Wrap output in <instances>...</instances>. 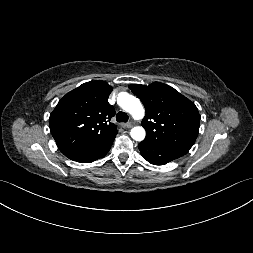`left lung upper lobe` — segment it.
<instances>
[{
    "mask_svg": "<svg viewBox=\"0 0 253 253\" xmlns=\"http://www.w3.org/2000/svg\"><path fill=\"white\" fill-rule=\"evenodd\" d=\"M129 88L140 98L146 110L142 121L146 130L143 141L187 153L199 131L200 115L195 104L160 82L148 86L131 84Z\"/></svg>",
    "mask_w": 253,
    "mask_h": 253,
    "instance_id": "obj_1",
    "label": "left lung upper lobe"
}]
</instances>
